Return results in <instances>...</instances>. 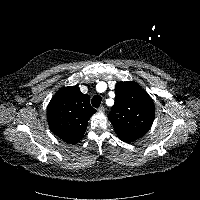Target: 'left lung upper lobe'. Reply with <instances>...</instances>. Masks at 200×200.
<instances>
[{"label": "left lung upper lobe", "instance_id": "1", "mask_svg": "<svg viewBox=\"0 0 200 200\" xmlns=\"http://www.w3.org/2000/svg\"><path fill=\"white\" fill-rule=\"evenodd\" d=\"M115 94V103L108 118L122 141L133 142L152 126L155 114L153 100L134 82L117 83Z\"/></svg>", "mask_w": 200, "mask_h": 200}]
</instances>
